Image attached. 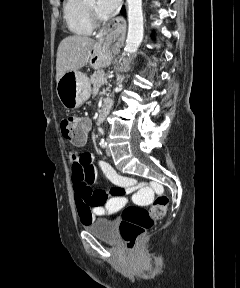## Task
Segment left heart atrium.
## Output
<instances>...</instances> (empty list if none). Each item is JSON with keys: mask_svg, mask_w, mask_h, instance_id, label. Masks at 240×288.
Returning <instances> with one entry per match:
<instances>
[{"mask_svg": "<svg viewBox=\"0 0 240 288\" xmlns=\"http://www.w3.org/2000/svg\"><path fill=\"white\" fill-rule=\"evenodd\" d=\"M121 0H97L96 8L101 17H109L118 8Z\"/></svg>", "mask_w": 240, "mask_h": 288, "instance_id": "39dd6f15", "label": "left heart atrium"}]
</instances>
